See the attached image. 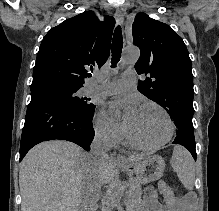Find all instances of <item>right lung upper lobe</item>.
<instances>
[{"label": "right lung upper lobe", "instance_id": "1", "mask_svg": "<svg viewBox=\"0 0 219 211\" xmlns=\"http://www.w3.org/2000/svg\"><path fill=\"white\" fill-rule=\"evenodd\" d=\"M114 25L113 17L100 22L88 11L49 30L37 54L31 92L52 84L83 87L88 70L106 62Z\"/></svg>", "mask_w": 219, "mask_h": 211}]
</instances>
